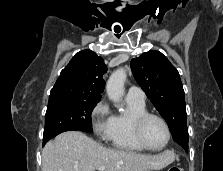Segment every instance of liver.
Instances as JSON below:
<instances>
[{
	"label": "liver",
	"instance_id": "liver-1",
	"mask_svg": "<svg viewBox=\"0 0 223 171\" xmlns=\"http://www.w3.org/2000/svg\"><path fill=\"white\" fill-rule=\"evenodd\" d=\"M175 159L172 152L144 155L127 150L103 147L78 131H68L49 141L42 151V171H104L160 170Z\"/></svg>",
	"mask_w": 223,
	"mask_h": 171
}]
</instances>
